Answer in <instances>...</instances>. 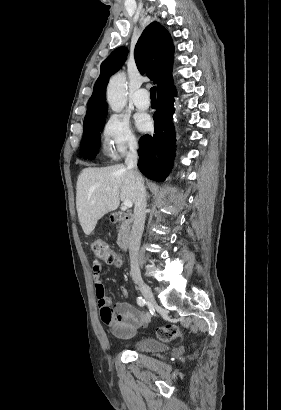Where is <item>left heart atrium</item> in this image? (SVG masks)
I'll return each instance as SVG.
<instances>
[{
	"mask_svg": "<svg viewBox=\"0 0 281 410\" xmlns=\"http://www.w3.org/2000/svg\"><path fill=\"white\" fill-rule=\"evenodd\" d=\"M138 127L143 130L146 131L151 127V121L148 117H142L139 121H138Z\"/></svg>",
	"mask_w": 281,
	"mask_h": 410,
	"instance_id": "39dd6f15",
	"label": "left heart atrium"
}]
</instances>
